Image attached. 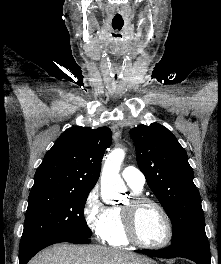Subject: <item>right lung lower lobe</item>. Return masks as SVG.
I'll list each match as a JSON object with an SVG mask.
<instances>
[{
  "label": "right lung lower lobe",
  "instance_id": "1",
  "mask_svg": "<svg viewBox=\"0 0 221 264\" xmlns=\"http://www.w3.org/2000/svg\"><path fill=\"white\" fill-rule=\"evenodd\" d=\"M90 238H67V239H51L34 243L20 250L19 264H27V262L43 248L60 242H70L74 244H87Z\"/></svg>",
  "mask_w": 221,
  "mask_h": 264
}]
</instances>
